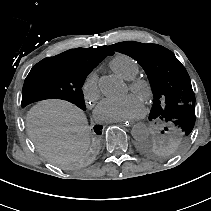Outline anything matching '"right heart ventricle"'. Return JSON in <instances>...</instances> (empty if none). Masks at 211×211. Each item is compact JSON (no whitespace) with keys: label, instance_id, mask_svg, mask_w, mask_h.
I'll return each mask as SVG.
<instances>
[{"label":"right heart ventricle","instance_id":"1","mask_svg":"<svg viewBox=\"0 0 211 211\" xmlns=\"http://www.w3.org/2000/svg\"><path fill=\"white\" fill-rule=\"evenodd\" d=\"M111 69L120 77L131 80L140 72L138 61L127 54H117L110 61Z\"/></svg>","mask_w":211,"mask_h":211}]
</instances>
